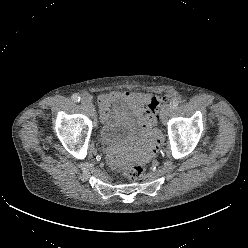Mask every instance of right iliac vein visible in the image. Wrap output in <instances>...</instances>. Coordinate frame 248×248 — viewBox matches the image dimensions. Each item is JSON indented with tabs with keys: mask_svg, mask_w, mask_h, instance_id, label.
Here are the masks:
<instances>
[{
	"mask_svg": "<svg viewBox=\"0 0 248 248\" xmlns=\"http://www.w3.org/2000/svg\"><path fill=\"white\" fill-rule=\"evenodd\" d=\"M82 104L89 110V112L94 115V106L92 104V101L88 97H83Z\"/></svg>",
	"mask_w": 248,
	"mask_h": 248,
	"instance_id": "right-iliac-vein-1",
	"label": "right iliac vein"
}]
</instances>
